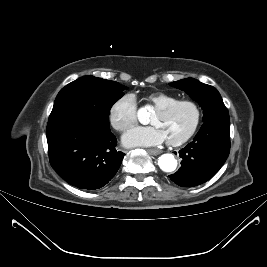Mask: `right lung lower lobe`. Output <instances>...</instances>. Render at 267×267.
<instances>
[{"label":"right lung lower lobe","mask_w":267,"mask_h":267,"mask_svg":"<svg viewBox=\"0 0 267 267\" xmlns=\"http://www.w3.org/2000/svg\"><path fill=\"white\" fill-rule=\"evenodd\" d=\"M46 135L51 166L77 188L103 187L122 163L123 153L115 149L110 127L96 120L66 116L48 124Z\"/></svg>","instance_id":"right-lung-lower-lobe-1"}]
</instances>
